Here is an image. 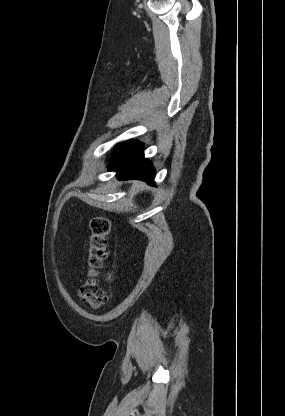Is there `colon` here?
<instances>
[{"label": "colon", "instance_id": "obj_1", "mask_svg": "<svg viewBox=\"0 0 285 416\" xmlns=\"http://www.w3.org/2000/svg\"><path fill=\"white\" fill-rule=\"evenodd\" d=\"M111 222L107 217H95L90 222L88 274L80 288V296L93 308L100 309L107 302V296L98 280L99 270L108 256V240Z\"/></svg>", "mask_w": 285, "mask_h": 416}]
</instances>
